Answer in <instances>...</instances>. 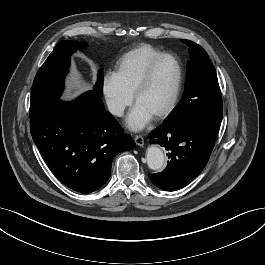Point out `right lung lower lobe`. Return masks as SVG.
<instances>
[{
  "instance_id": "right-lung-lower-lobe-1",
  "label": "right lung lower lobe",
  "mask_w": 265,
  "mask_h": 265,
  "mask_svg": "<svg viewBox=\"0 0 265 265\" xmlns=\"http://www.w3.org/2000/svg\"><path fill=\"white\" fill-rule=\"evenodd\" d=\"M32 138L52 173L68 188L91 193L109 179L113 158L135 143L95 91L59 101L30 122Z\"/></svg>"
}]
</instances>
